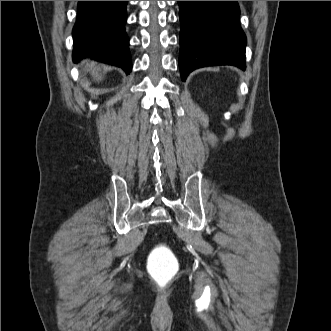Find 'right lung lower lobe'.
I'll list each match as a JSON object with an SVG mask.
<instances>
[{
    "label": "right lung lower lobe",
    "instance_id": "1",
    "mask_svg": "<svg viewBox=\"0 0 331 331\" xmlns=\"http://www.w3.org/2000/svg\"><path fill=\"white\" fill-rule=\"evenodd\" d=\"M128 1H79L77 20L73 28V61L92 57L132 69L129 39L125 32Z\"/></svg>",
    "mask_w": 331,
    "mask_h": 331
}]
</instances>
